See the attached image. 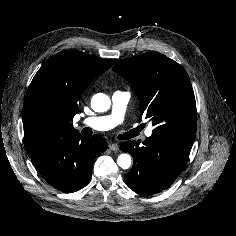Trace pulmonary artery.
<instances>
[{
  "label": "pulmonary artery",
  "instance_id": "1",
  "mask_svg": "<svg viewBox=\"0 0 236 236\" xmlns=\"http://www.w3.org/2000/svg\"><path fill=\"white\" fill-rule=\"evenodd\" d=\"M129 101V92L116 91L112 95V108L109 114L89 117L84 119L82 123L96 130H110L123 121ZM144 134L146 137H150L152 135V130L147 129Z\"/></svg>",
  "mask_w": 236,
  "mask_h": 236
}]
</instances>
